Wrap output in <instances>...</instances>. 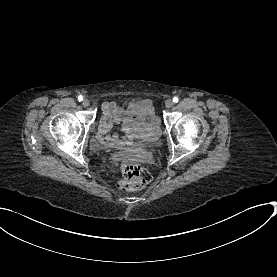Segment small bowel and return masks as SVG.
I'll return each mask as SVG.
<instances>
[{
    "instance_id": "obj_1",
    "label": "small bowel",
    "mask_w": 277,
    "mask_h": 277,
    "mask_svg": "<svg viewBox=\"0 0 277 277\" xmlns=\"http://www.w3.org/2000/svg\"><path fill=\"white\" fill-rule=\"evenodd\" d=\"M105 116L99 120L97 139L99 143L107 146L119 144L116 135L109 132L116 125L126 135L139 134L143 137L156 138L159 134V119L155 113L152 102L149 99H141L119 107L114 102L103 104Z\"/></svg>"
}]
</instances>
